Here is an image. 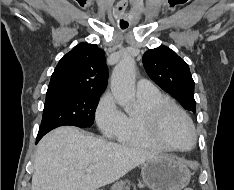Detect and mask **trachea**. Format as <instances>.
<instances>
[{
    "instance_id": "1",
    "label": "trachea",
    "mask_w": 234,
    "mask_h": 190,
    "mask_svg": "<svg viewBox=\"0 0 234 190\" xmlns=\"http://www.w3.org/2000/svg\"><path fill=\"white\" fill-rule=\"evenodd\" d=\"M122 29H125L126 27L125 26H121Z\"/></svg>"
}]
</instances>
